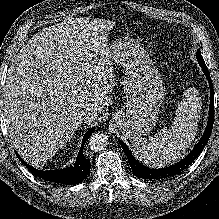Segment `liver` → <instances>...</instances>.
<instances>
[{
	"label": "liver",
	"mask_w": 219,
	"mask_h": 219,
	"mask_svg": "<svg viewBox=\"0 0 219 219\" xmlns=\"http://www.w3.org/2000/svg\"><path fill=\"white\" fill-rule=\"evenodd\" d=\"M104 19L67 18L43 28L19 51L4 86L10 139L24 160L45 164L66 145L82 121L87 125L108 105L113 68ZM90 108L96 116L79 113Z\"/></svg>",
	"instance_id": "1"
}]
</instances>
